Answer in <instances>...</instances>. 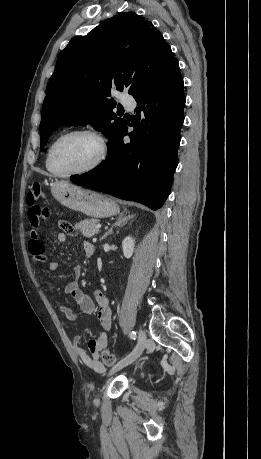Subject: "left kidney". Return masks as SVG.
Returning <instances> with one entry per match:
<instances>
[{
	"label": "left kidney",
	"mask_w": 261,
	"mask_h": 459,
	"mask_svg": "<svg viewBox=\"0 0 261 459\" xmlns=\"http://www.w3.org/2000/svg\"><path fill=\"white\" fill-rule=\"evenodd\" d=\"M135 247V240L131 236L126 237L122 241L123 254L126 258H130L133 255Z\"/></svg>",
	"instance_id": "5707ae66"
}]
</instances>
